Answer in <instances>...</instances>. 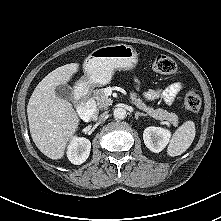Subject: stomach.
<instances>
[{
  "label": "stomach",
  "instance_id": "obj_1",
  "mask_svg": "<svg viewBox=\"0 0 221 221\" xmlns=\"http://www.w3.org/2000/svg\"><path fill=\"white\" fill-rule=\"evenodd\" d=\"M138 62L137 52L131 45L115 44L93 50L85 59V76L81 83L90 88L108 84L115 70H132Z\"/></svg>",
  "mask_w": 221,
  "mask_h": 221
}]
</instances>
